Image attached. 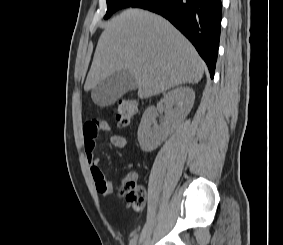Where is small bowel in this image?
<instances>
[{
    "label": "small bowel",
    "instance_id": "small-bowel-1",
    "mask_svg": "<svg viewBox=\"0 0 283 245\" xmlns=\"http://www.w3.org/2000/svg\"><path fill=\"white\" fill-rule=\"evenodd\" d=\"M110 127L107 122L97 119L88 120L83 126L84 149L88 164L90 165V172L95 183L98 193L103 196L111 195L114 192V187L109 182L102 170L99 167V158L94 154L96 147V137L100 131H109ZM110 143L117 148H125L127 146V139L121 134H113L110 136ZM135 175H129L127 179L134 180Z\"/></svg>",
    "mask_w": 283,
    "mask_h": 245
}]
</instances>
